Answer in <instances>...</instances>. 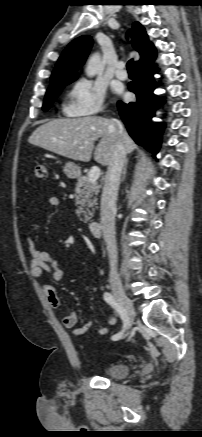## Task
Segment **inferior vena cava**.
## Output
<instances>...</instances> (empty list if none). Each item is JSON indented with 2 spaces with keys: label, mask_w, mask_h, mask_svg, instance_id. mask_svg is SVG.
I'll use <instances>...</instances> for the list:
<instances>
[{
  "label": "inferior vena cava",
  "mask_w": 202,
  "mask_h": 437,
  "mask_svg": "<svg viewBox=\"0 0 202 437\" xmlns=\"http://www.w3.org/2000/svg\"><path fill=\"white\" fill-rule=\"evenodd\" d=\"M115 122L121 134L122 124L116 120ZM126 161V150L121 139L115 143L113 158L108 165L107 172L104 178V186L101 196V224L103 239L106 244V249L110 264V281H119V274L117 271L118 252L115 232V214H116V200L120 184V176Z\"/></svg>",
  "instance_id": "inferior-vena-cava-1"
}]
</instances>
